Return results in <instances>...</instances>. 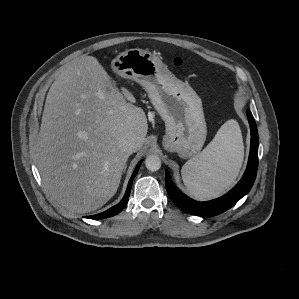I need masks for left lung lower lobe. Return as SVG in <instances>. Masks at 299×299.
<instances>
[{
	"label": "left lung lower lobe",
	"instance_id": "0a47b994",
	"mask_svg": "<svg viewBox=\"0 0 299 299\" xmlns=\"http://www.w3.org/2000/svg\"><path fill=\"white\" fill-rule=\"evenodd\" d=\"M246 114L251 130V146L248 165L242 179L232 190L222 197L211 201L197 202L183 194L174 185L170 174L166 171L167 193L179 209L186 213L203 217L216 216L230 209L250 191L255 181L258 167V131L252 113L247 110Z\"/></svg>",
	"mask_w": 299,
	"mask_h": 299
}]
</instances>
